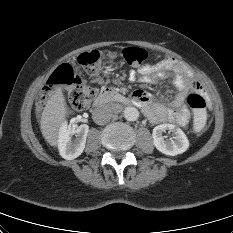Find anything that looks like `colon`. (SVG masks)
Returning a JSON list of instances; mask_svg holds the SVG:
<instances>
[{
	"label": "colon",
	"mask_w": 233,
	"mask_h": 233,
	"mask_svg": "<svg viewBox=\"0 0 233 233\" xmlns=\"http://www.w3.org/2000/svg\"><path fill=\"white\" fill-rule=\"evenodd\" d=\"M122 56L129 65L140 66L146 60L147 53L139 47H128L122 51ZM78 61L88 73L94 75L100 69L101 55L97 50H92L82 53ZM60 88L67 92L69 101L75 109L88 107L96 96V90L76 75L70 65L62 64L52 73L40 91L37 107L42 109L53 92ZM186 103L194 111V132H202L207 123L204 97L199 93H191L187 96Z\"/></svg>",
	"instance_id": "obj_1"
}]
</instances>
